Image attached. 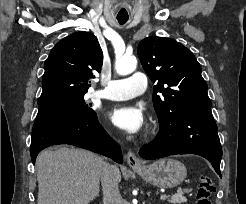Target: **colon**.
<instances>
[{
    "instance_id": "5ec220e1",
    "label": "colon",
    "mask_w": 246,
    "mask_h": 204,
    "mask_svg": "<svg viewBox=\"0 0 246 204\" xmlns=\"http://www.w3.org/2000/svg\"><path fill=\"white\" fill-rule=\"evenodd\" d=\"M216 187L211 177L202 175L200 177L196 192L197 204H212L211 196L215 192Z\"/></svg>"
}]
</instances>
